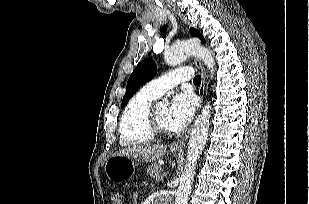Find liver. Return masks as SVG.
Segmentation results:
<instances>
[{
	"instance_id": "obj_1",
	"label": "liver",
	"mask_w": 309,
	"mask_h": 204,
	"mask_svg": "<svg viewBox=\"0 0 309 204\" xmlns=\"http://www.w3.org/2000/svg\"><path fill=\"white\" fill-rule=\"evenodd\" d=\"M166 151L167 145H135L123 148L116 152L114 155L127 156L142 162H151L163 157Z\"/></svg>"
}]
</instances>
